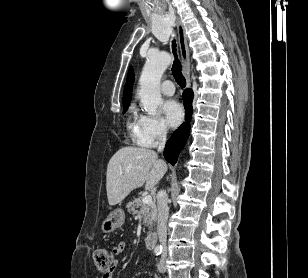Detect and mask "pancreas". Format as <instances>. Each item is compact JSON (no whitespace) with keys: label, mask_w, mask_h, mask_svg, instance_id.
I'll return each instance as SVG.
<instances>
[{"label":"pancreas","mask_w":308,"mask_h":278,"mask_svg":"<svg viewBox=\"0 0 308 278\" xmlns=\"http://www.w3.org/2000/svg\"><path fill=\"white\" fill-rule=\"evenodd\" d=\"M133 207L139 208L140 214L143 216V224L145 227H148L149 230H152L155 221L157 220V209L155 202L148 204H143L141 198H136L129 203ZM137 212V210H134Z\"/></svg>","instance_id":"1"}]
</instances>
